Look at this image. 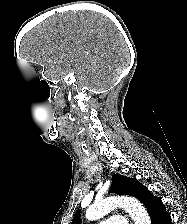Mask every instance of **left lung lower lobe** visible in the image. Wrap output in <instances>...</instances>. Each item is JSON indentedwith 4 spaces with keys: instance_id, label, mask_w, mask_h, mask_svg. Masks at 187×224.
Segmentation results:
<instances>
[{
    "instance_id": "obj_1",
    "label": "left lung lower lobe",
    "mask_w": 187,
    "mask_h": 224,
    "mask_svg": "<svg viewBox=\"0 0 187 224\" xmlns=\"http://www.w3.org/2000/svg\"><path fill=\"white\" fill-rule=\"evenodd\" d=\"M143 204L151 217V224H171L170 213L166 211L160 198L151 194Z\"/></svg>"
}]
</instances>
